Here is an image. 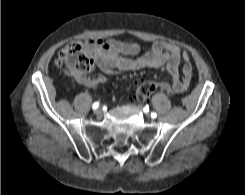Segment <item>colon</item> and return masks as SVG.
Returning <instances> with one entry per match:
<instances>
[{
  "label": "colon",
  "instance_id": "obj_1",
  "mask_svg": "<svg viewBox=\"0 0 245 195\" xmlns=\"http://www.w3.org/2000/svg\"><path fill=\"white\" fill-rule=\"evenodd\" d=\"M55 64L59 68H64L68 75L77 81L85 79L93 67V61L87 47L79 43H70L65 46L59 52ZM157 88L158 84L154 80H139L136 85V97L139 100H145Z\"/></svg>",
  "mask_w": 245,
  "mask_h": 195
}]
</instances>
